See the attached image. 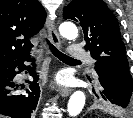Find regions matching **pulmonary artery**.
Wrapping results in <instances>:
<instances>
[{
  "instance_id": "pulmonary-artery-1",
  "label": "pulmonary artery",
  "mask_w": 133,
  "mask_h": 118,
  "mask_svg": "<svg viewBox=\"0 0 133 118\" xmlns=\"http://www.w3.org/2000/svg\"><path fill=\"white\" fill-rule=\"evenodd\" d=\"M68 53L72 58L83 59L89 63L94 62L93 59L87 53H85L78 45H71L68 48Z\"/></svg>"
}]
</instances>
